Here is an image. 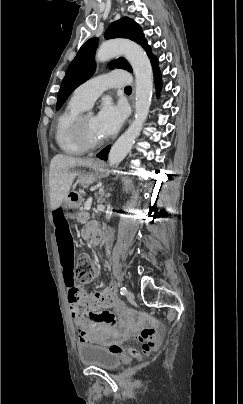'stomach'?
Here are the masks:
<instances>
[{
    "label": "stomach",
    "mask_w": 243,
    "mask_h": 404,
    "mask_svg": "<svg viewBox=\"0 0 243 404\" xmlns=\"http://www.w3.org/2000/svg\"><path fill=\"white\" fill-rule=\"evenodd\" d=\"M106 173V165L102 161H94L91 166H89V171L80 172L77 175V180L81 184H89L100 178H102ZM63 206L66 210H72L79 206L78 202H74L72 199L66 198L64 200Z\"/></svg>",
    "instance_id": "stomach-1"
}]
</instances>
